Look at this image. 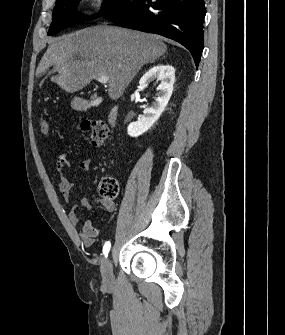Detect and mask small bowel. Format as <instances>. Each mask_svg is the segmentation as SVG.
Masks as SVG:
<instances>
[{
	"label": "small bowel",
	"instance_id": "c3829d8e",
	"mask_svg": "<svg viewBox=\"0 0 285 335\" xmlns=\"http://www.w3.org/2000/svg\"><path fill=\"white\" fill-rule=\"evenodd\" d=\"M56 165L61 172L60 179L57 183V189L60 192L63 200L68 202L70 194L73 188V182L67 175V169L70 167V161L65 153H58L56 155ZM79 167L82 171L87 172L91 167L90 159H84L80 162ZM102 203L106 211L112 212L115 209V205L109 200H98L94 197H84L80 201V206L86 209L91 208L96 203ZM68 218L72 225L78 226L80 224V218L77 214V206H73L68 212ZM100 229L96 228L90 220H85L82 223L80 231V239L85 246H91L95 242V238L99 236Z\"/></svg>",
	"mask_w": 285,
	"mask_h": 335
}]
</instances>
